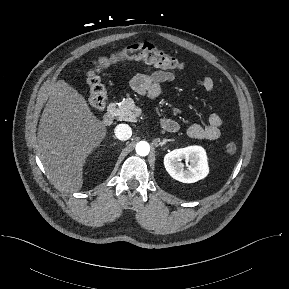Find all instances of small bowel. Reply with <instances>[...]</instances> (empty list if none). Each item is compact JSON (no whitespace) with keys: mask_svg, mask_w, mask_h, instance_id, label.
I'll list each match as a JSON object with an SVG mask.
<instances>
[{"mask_svg":"<svg viewBox=\"0 0 289 289\" xmlns=\"http://www.w3.org/2000/svg\"><path fill=\"white\" fill-rule=\"evenodd\" d=\"M174 73L166 70H157L150 74H139L132 80V88L140 95H147L156 98L162 92V86L165 83L175 81ZM202 86L206 91L214 88L215 83L211 76H204ZM222 119L216 113H211L205 125L194 123L188 127L187 133L195 139L216 140L220 137V128ZM162 127L168 132H175L178 129L177 123L170 119L162 120Z\"/></svg>","mask_w":289,"mask_h":289,"instance_id":"obj_1","label":"small bowel"}]
</instances>
